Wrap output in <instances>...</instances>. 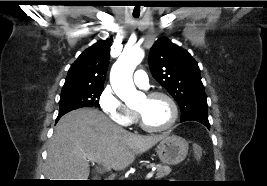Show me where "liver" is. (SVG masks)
Listing matches in <instances>:
<instances>
[{
	"label": "liver",
	"mask_w": 267,
	"mask_h": 186,
	"mask_svg": "<svg viewBox=\"0 0 267 186\" xmlns=\"http://www.w3.org/2000/svg\"><path fill=\"white\" fill-rule=\"evenodd\" d=\"M166 134L135 135L114 124L101 111L80 108L64 115L49 142L46 177L49 180H87L88 157L106 169L123 170Z\"/></svg>",
	"instance_id": "1"
}]
</instances>
